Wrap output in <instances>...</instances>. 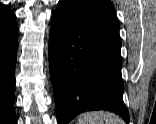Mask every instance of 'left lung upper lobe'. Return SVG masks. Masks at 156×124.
<instances>
[{
    "label": "left lung upper lobe",
    "mask_w": 156,
    "mask_h": 124,
    "mask_svg": "<svg viewBox=\"0 0 156 124\" xmlns=\"http://www.w3.org/2000/svg\"><path fill=\"white\" fill-rule=\"evenodd\" d=\"M84 16L119 32V22L113 4L109 0H63Z\"/></svg>",
    "instance_id": "5c2ea615"
}]
</instances>
